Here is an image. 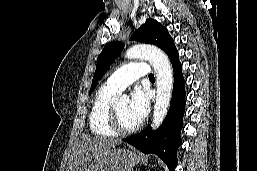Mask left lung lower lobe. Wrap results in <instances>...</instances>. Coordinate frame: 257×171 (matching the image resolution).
Here are the masks:
<instances>
[{
    "label": "left lung lower lobe",
    "instance_id": "left-lung-lower-lobe-1",
    "mask_svg": "<svg viewBox=\"0 0 257 171\" xmlns=\"http://www.w3.org/2000/svg\"><path fill=\"white\" fill-rule=\"evenodd\" d=\"M174 70L173 94L170 108L162 125L152 131L150 127L143 132L127 137L123 141L134 145L143 153H154L166 163L170 171L176 166V152L181 145L180 132L185 110V90L178 52L169 55Z\"/></svg>",
    "mask_w": 257,
    "mask_h": 171
}]
</instances>
